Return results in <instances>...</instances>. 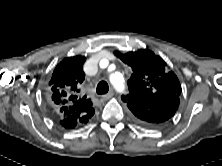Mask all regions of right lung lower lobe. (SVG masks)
<instances>
[{
	"mask_svg": "<svg viewBox=\"0 0 222 166\" xmlns=\"http://www.w3.org/2000/svg\"><path fill=\"white\" fill-rule=\"evenodd\" d=\"M60 124L67 129H72L79 123H74V122L68 121L66 118H63V119H60Z\"/></svg>",
	"mask_w": 222,
	"mask_h": 166,
	"instance_id": "right-lung-lower-lobe-1",
	"label": "right lung lower lobe"
}]
</instances>
